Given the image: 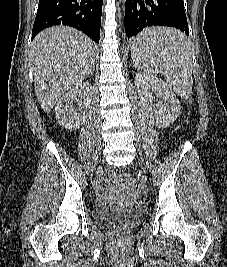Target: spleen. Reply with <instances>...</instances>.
Segmentation results:
<instances>
[{
  "instance_id": "3e777b00",
  "label": "spleen",
  "mask_w": 227,
  "mask_h": 267,
  "mask_svg": "<svg viewBox=\"0 0 227 267\" xmlns=\"http://www.w3.org/2000/svg\"><path fill=\"white\" fill-rule=\"evenodd\" d=\"M131 63L143 77H164L182 98L192 93V54L186 36L173 28H147L132 38Z\"/></svg>"
}]
</instances>
